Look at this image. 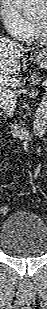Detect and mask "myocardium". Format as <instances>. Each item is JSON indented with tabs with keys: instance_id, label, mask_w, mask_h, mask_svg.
Returning a JSON list of instances; mask_svg holds the SVG:
<instances>
[{
	"instance_id": "f54148a6",
	"label": "myocardium",
	"mask_w": 47,
	"mask_h": 309,
	"mask_svg": "<svg viewBox=\"0 0 47 309\" xmlns=\"http://www.w3.org/2000/svg\"><path fill=\"white\" fill-rule=\"evenodd\" d=\"M34 30L37 34V36L42 37L45 29H41L37 24H34Z\"/></svg>"
}]
</instances>
